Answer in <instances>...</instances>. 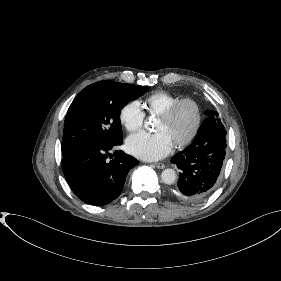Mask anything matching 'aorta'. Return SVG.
<instances>
[{"mask_svg": "<svg viewBox=\"0 0 281 281\" xmlns=\"http://www.w3.org/2000/svg\"><path fill=\"white\" fill-rule=\"evenodd\" d=\"M177 178V174L173 169H165L161 173L162 182L165 184H173Z\"/></svg>", "mask_w": 281, "mask_h": 281, "instance_id": "762f6f07", "label": "aorta"}]
</instances>
